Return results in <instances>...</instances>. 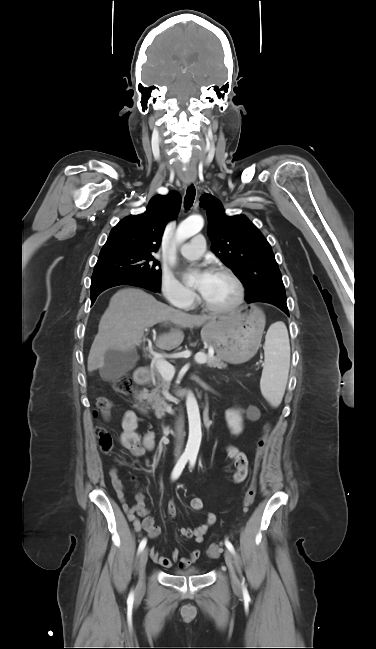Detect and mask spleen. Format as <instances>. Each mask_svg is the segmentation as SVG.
<instances>
[{
	"instance_id": "spleen-1",
	"label": "spleen",
	"mask_w": 376,
	"mask_h": 649,
	"mask_svg": "<svg viewBox=\"0 0 376 649\" xmlns=\"http://www.w3.org/2000/svg\"><path fill=\"white\" fill-rule=\"evenodd\" d=\"M264 355L260 389L264 398L277 407L285 392L290 366V344L284 324L277 322L268 329Z\"/></svg>"
}]
</instances>
